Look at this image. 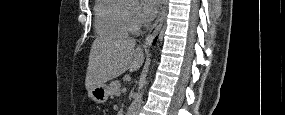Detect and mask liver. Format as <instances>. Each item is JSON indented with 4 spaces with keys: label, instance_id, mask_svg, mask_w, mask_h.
Segmentation results:
<instances>
[{
    "label": "liver",
    "instance_id": "1",
    "mask_svg": "<svg viewBox=\"0 0 285 115\" xmlns=\"http://www.w3.org/2000/svg\"><path fill=\"white\" fill-rule=\"evenodd\" d=\"M144 62L141 46L127 36L98 37L92 44L85 78L87 91L105 84L126 70L134 72Z\"/></svg>",
    "mask_w": 285,
    "mask_h": 115
}]
</instances>
